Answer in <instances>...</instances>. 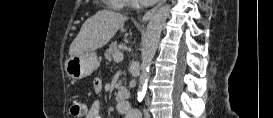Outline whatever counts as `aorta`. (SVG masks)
Here are the masks:
<instances>
[{
    "label": "aorta",
    "mask_w": 273,
    "mask_h": 118,
    "mask_svg": "<svg viewBox=\"0 0 273 118\" xmlns=\"http://www.w3.org/2000/svg\"><path fill=\"white\" fill-rule=\"evenodd\" d=\"M171 6L169 4L160 7L151 17L146 33L142 42V63H141V75L140 85L137 93L138 101H141L145 95L147 89V82L149 78V70L152 64L154 55L156 53L160 35L164 24L169 16Z\"/></svg>",
    "instance_id": "aorta-1"
}]
</instances>
